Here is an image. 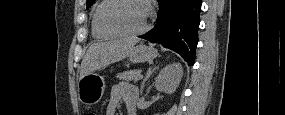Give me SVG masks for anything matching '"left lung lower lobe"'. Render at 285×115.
Instances as JSON below:
<instances>
[{"instance_id": "left-lung-lower-lobe-1", "label": "left lung lower lobe", "mask_w": 285, "mask_h": 115, "mask_svg": "<svg viewBox=\"0 0 285 115\" xmlns=\"http://www.w3.org/2000/svg\"><path fill=\"white\" fill-rule=\"evenodd\" d=\"M157 1V23L140 38L176 51L192 66L198 43L201 0Z\"/></svg>"}]
</instances>
